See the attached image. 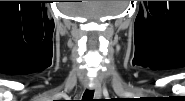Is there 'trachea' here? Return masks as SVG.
Segmentation results:
<instances>
[{
    "mask_svg": "<svg viewBox=\"0 0 185 101\" xmlns=\"http://www.w3.org/2000/svg\"><path fill=\"white\" fill-rule=\"evenodd\" d=\"M94 91L93 90H86L83 94V101H93Z\"/></svg>",
    "mask_w": 185,
    "mask_h": 101,
    "instance_id": "obj_1",
    "label": "trachea"
}]
</instances>
